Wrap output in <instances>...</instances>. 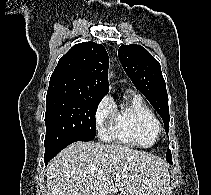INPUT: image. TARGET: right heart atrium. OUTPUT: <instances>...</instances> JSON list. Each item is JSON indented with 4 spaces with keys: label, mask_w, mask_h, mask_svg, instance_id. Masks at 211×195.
Listing matches in <instances>:
<instances>
[{
    "label": "right heart atrium",
    "mask_w": 211,
    "mask_h": 195,
    "mask_svg": "<svg viewBox=\"0 0 211 195\" xmlns=\"http://www.w3.org/2000/svg\"><path fill=\"white\" fill-rule=\"evenodd\" d=\"M114 107L108 98H103L95 112V124L100 138L107 140L111 136Z\"/></svg>",
    "instance_id": "d8ad5b80"
}]
</instances>
